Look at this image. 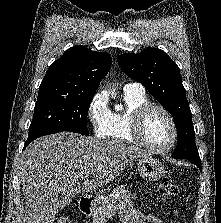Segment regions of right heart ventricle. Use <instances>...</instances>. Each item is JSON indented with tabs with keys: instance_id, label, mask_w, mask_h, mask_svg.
<instances>
[{
	"instance_id": "1",
	"label": "right heart ventricle",
	"mask_w": 221,
	"mask_h": 223,
	"mask_svg": "<svg viewBox=\"0 0 221 223\" xmlns=\"http://www.w3.org/2000/svg\"><path fill=\"white\" fill-rule=\"evenodd\" d=\"M124 102L126 105L124 111L110 113V127L107 136L113 142L131 143L133 139L129 133V127L133 114L150 101L145 91H127L124 92Z\"/></svg>"
}]
</instances>
